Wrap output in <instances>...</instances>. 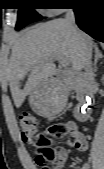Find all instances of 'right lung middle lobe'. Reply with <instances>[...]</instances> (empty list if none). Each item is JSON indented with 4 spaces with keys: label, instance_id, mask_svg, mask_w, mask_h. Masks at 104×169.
I'll return each mask as SVG.
<instances>
[{
    "label": "right lung middle lobe",
    "instance_id": "dd1d6c3e",
    "mask_svg": "<svg viewBox=\"0 0 104 169\" xmlns=\"http://www.w3.org/2000/svg\"><path fill=\"white\" fill-rule=\"evenodd\" d=\"M19 4V11H18V18H17V24L15 29L20 30L24 26L35 22L40 21L43 19L41 15H39L35 11V2L34 0H16ZM68 1H76V0H68Z\"/></svg>",
    "mask_w": 104,
    "mask_h": 169
}]
</instances>
